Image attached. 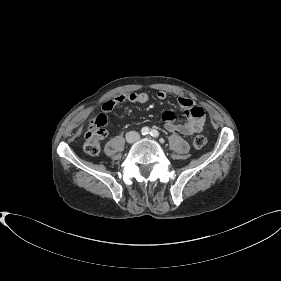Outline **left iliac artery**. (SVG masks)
<instances>
[{
    "label": "left iliac artery",
    "mask_w": 281,
    "mask_h": 281,
    "mask_svg": "<svg viewBox=\"0 0 281 281\" xmlns=\"http://www.w3.org/2000/svg\"><path fill=\"white\" fill-rule=\"evenodd\" d=\"M150 135L152 136V137H158L159 136V132L157 131V130H155V129H152L151 130V132H150Z\"/></svg>",
    "instance_id": "44dca946"
}]
</instances>
